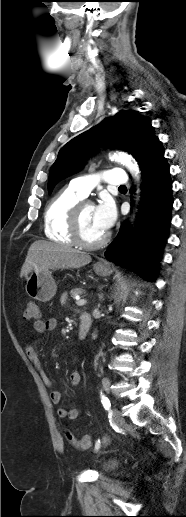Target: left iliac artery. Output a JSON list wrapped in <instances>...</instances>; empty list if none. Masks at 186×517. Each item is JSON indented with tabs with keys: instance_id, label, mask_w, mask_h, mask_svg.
Wrapping results in <instances>:
<instances>
[{
	"instance_id": "obj_1",
	"label": "left iliac artery",
	"mask_w": 186,
	"mask_h": 517,
	"mask_svg": "<svg viewBox=\"0 0 186 517\" xmlns=\"http://www.w3.org/2000/svg\"><path fill=\"white\" fill-rule=\"evenodd\" d=\"M100 396H101V402H102V404H103V407L105 408V410H108V411H109V410H110V408H111V403H110V401H109L108 397H106L102 392H101V395H100ZM99 445H100V441L98 440V441L96 442V446H95V447H96V449H98V448H99Z\"/></svg>"
}]
</instances>
